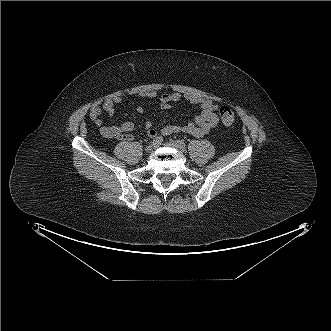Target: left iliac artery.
Here are the masks:
<instances>
[{"label":"left iliac artery","instance_id":"44dca946","mask_svg":"<svg viewBox=\"0 0 331 331\" xmlns=\"http://www.w3.org/2000/svg\"><path fill=\"white\" fill-rule=\"evenodd\" d=\"M177 144L181 147V148H185L186 144L183 140H177Z\"/></svg>","mask_w":331,"mask_h":331}]
</instances>
